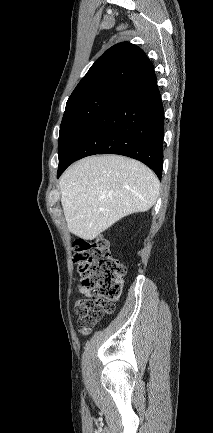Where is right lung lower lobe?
Here are the masks:
<instances>
[{
    "label": "right lung lower lobe",
    "instance_id": "1",
    "mask_svg": "<svg viewBox=\"0 0 213 433\" xmlns=\"http://www.w3.org/2000/svg\"><path fill=\"white\" fill-rule=\"evenodd\" d=\"M164 109L154 69L124 90L71 142L59 158L58 174L75 160L119 154L149 166L161 179Z\"/></svg>",
    "mask_w": 213,
    "mask_h": 433
}]
</instances>
